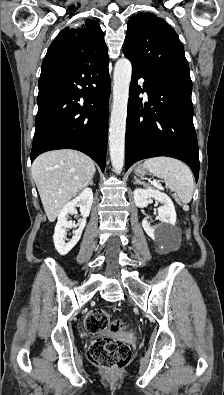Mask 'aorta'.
<instances>
[{
    "label": "aorta",
    "mask_w": 224,
    "mask_h": 395,
    "mask_svg": "<svg viewBox=\"0 0 224 395\" xmlns=\"http://www.w3.org/2000/svg\"><path fill=\"white\" fill-rule=\"evenodd\" d=\"M132 65L127 58L114 67L113 101L109 128V150L112 167L120 173L124 165L125 131Z\"/></svg>",
    "instance_id": "1"
}]
</instances>
